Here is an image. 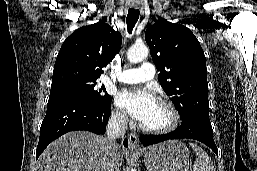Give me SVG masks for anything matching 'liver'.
<instances>
[{
    "label": "liver",
    "instance_id": "liver-1",
    "mask_svg": "<svg viewBox=\"0 0 257 171\" xmlns=\"http://www.w3.org/2000/svg\"><path fill=\"white\" fill-rule=\"evenodd\" d=\"M106 140L86 131L69 132L48 145L37 162L38 171H103ZM124 152L116 153L118 167Z\"/></svg>",
    "mask_w": 257,
    "mask_h": 171
}]
</instances>
